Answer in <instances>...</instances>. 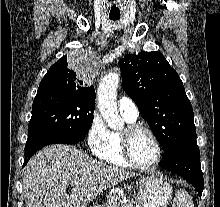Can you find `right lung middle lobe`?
Returning a JSON list of instances; mask_svg holds the SVG:
<instances>
[{
    "mask_svg": "<svg viewBox=\"0 0 220 207\" xmlns=\"http://www.w3.org/2000/svg\"><path fill=\"white\" fill-rule=\"evenodd\" d=\"M94 108L93 97L66 91H38L27 141L46 137L85 138L93 121Z\"/></svg>",
    "mask_w": 220,
    "mask_h": 207,
    "instance_id": "dd1d6c3e",
    "label": "right lung middle lobe"
}]
</instances>
